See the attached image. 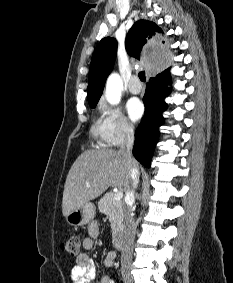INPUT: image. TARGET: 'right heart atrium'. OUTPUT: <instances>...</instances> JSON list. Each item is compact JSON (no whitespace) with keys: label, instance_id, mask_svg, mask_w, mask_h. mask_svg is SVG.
<instances>
[{"label":"right heart atrium","instance_id":"obj_1","mask_svg":"<svg viewBox=\"0 0 233 283\" xmlns=\"http://www.w3.org/2000/svg\"><path fill=\"white\" fill-rule=\"evenodd\" d=\"M100 110L104 116L107 138L111 145H120L133 137L134 127L119 108L102 101Z\"/></svg>","mask_w":233,"mask_h":283}]
</instances>
